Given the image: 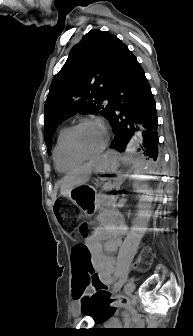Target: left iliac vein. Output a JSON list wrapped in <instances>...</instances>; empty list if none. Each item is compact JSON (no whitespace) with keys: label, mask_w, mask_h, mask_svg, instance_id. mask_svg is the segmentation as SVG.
Masks as SVG:
<instances>
[{"label":"left iliac vein","mask_w":193,"mask_h":336,"mask_svg":"<svg viewBox=\"0 0 193 336\" xmlns=\"http://www.w3.org/2000/svg\"><path fill=\"white\" fill-rule=\"evenodd\" d=\"M134 289H135V283L132 280H129L124 286V294L130 295L134 291ZM114 292H117V291H114Z\"/></svg>","instance_id":"obj_1"}]
</instances>
